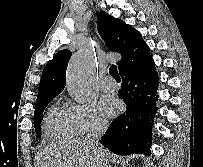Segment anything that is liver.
<instances>
[{"mask_svg":"<svg viewBox=\"0 0 203 167\" xmlns=\"http://www.w3.org/2000/svg\"><path fill=\"white\" fill-rule=\"evenodd\" d=\"M93 149L85 140H70L46 147L38 153L35 167H104L105 150ZM103 160V161H102Z\"/></svg>","mask_w":203,"mask_h":167,"instance_id":"obj_1","label":"liver"}]
</instances>
